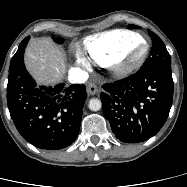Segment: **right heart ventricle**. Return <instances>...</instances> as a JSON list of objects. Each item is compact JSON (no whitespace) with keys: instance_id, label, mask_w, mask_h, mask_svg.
Returning <instances> with one entry per match:
<instances>
[{"instance_id":"obj_1","label":"right heart ventricle","mask_w":187,"mask_h":187,"mask_svg":"<svg viewBox=\"0 0 187 187\" xmlns=\"http://www.w3.org/2000/svg\"><path fill=\"white\" fill-rule=\"evenodd\" d=\"M141 39L135 32L116 29L87 37L83 46L86 54L95 63L108 66L127 46Z\"/></svg>"}]
</instances>
